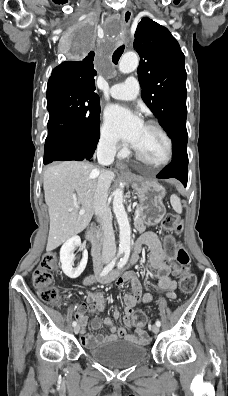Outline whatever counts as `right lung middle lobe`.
<instances>
[{
  "instance_id": "1",
  "label": "right lung middle lobe",
  "mask_w": 228,
  "mask_h": 396,
  "mask_svg": "<svg viewBox=\"0 0 228 396\" xmlns=\"http://www.w3.org/2000/svg\"><path fill=\"white\" fill-rule=\"evenodd\" d=\"M94 40L87 30L77 35L73 54L84 56ZM48 137L60 135L71 141L84 155L92 154L99 139L100 99L94 91L69 81H48Z\"/></svg>"
}]
</instances>
